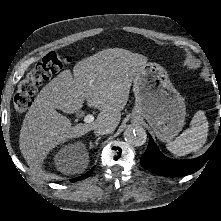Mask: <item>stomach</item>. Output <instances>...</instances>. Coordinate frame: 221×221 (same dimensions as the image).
<instances>
[{"label": "stomach", "instance_id": "1", "mask_svg": "<svg viewBox=\"0 0 221 221\" xmlns=\"http://www.w3.org/2000/svg\"><path fill=\"white\" fill-rule=\"evenodd\" d=\"M133 92L134 116L145 118L163 142L178 135L185 123V101L161 65L141 66L133 79Z\"/></svg>", "mask_w": 221, "mask_h": 221}]
</instances>
